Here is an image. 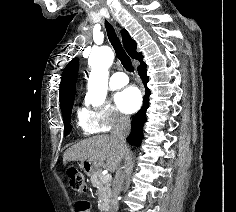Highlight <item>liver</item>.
Listing matches in <instances>:
<instances>
[{"label":"liver","mask_w":236,"mask_h":212,"mask_svg":"<svg viewBox=\"0 0 236 212\" xmlns=\"http://www.w3.org/2000/svg\"><path fill=\"white\" fill-rule=\"evenodd\" d=\"M127 151L126 145H122L111 135H99L84 139L65 151L63 164L70 161H91L97 167L105 166L110 171H115ZM106 161V164H104Z\"/></svg>","instance_id":"obj_1"}]
</instances>
